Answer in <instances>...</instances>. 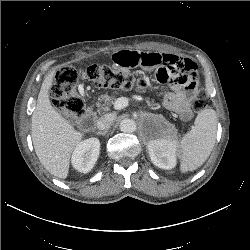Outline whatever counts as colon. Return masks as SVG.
Instances as JSON below:
<instances>
[{
	"mask_svg": "<svg viewBox=\"0 0 250 250\" xmlns=\"http://www.w3.org/2000/svg\"><path fill=\"white\" fill-rule=\"evenodd\" d=\"M79 79L88 80L99 88L143 91L147 86L144 80L108 66L91 65L80 70L64 67L56 73L50 95L55 107L70 118L80 117L85 112L84 102L75 89ZM210 105L208 93L204 89L198 90L192 102L193 109L200 112Z\"/></svg>",
	"mask_w": 250,
	"mask_h": 250,
	"instance_id": "5ec220e1",
	"label": "colon"
}]
</instances>
